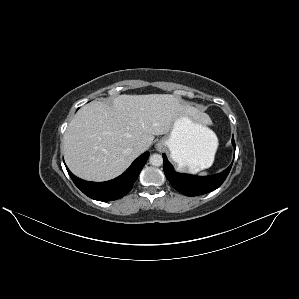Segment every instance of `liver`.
<instances>
[{
  "label": "liver",
  "instance_id": "liver-1",
  "mask_svg": "<svg viewBox=\"0 0 299 299\" xmlns=\"http://www.w3.org/2000/svg\"><path fill=\"white\" fill-rule=\"evenodd\" d=\"M180 112L179 99L170 94L120 95L112 106L89 103L77 112L64 134L66 164L85 180L113 179L139 156L136 144L148 149L154 136L171 131Z\"/></svg>",
  "mask_w": 299,
  "mask_h": 299
}]
</instances>
